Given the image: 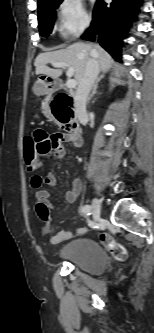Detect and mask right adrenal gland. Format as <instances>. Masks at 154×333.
Wrapping results in <instances>:
<instances>
[{
  "instance_id": "right-adrenal-gland-1",
  "label": "right adrenal gland",
  "mask_w": 154,
  "mask_h": 333,
  "mask_svg": "<svg viewBox=\"0 0 154 333\" xmlns=\"http://www.w3.org/2000/svg\"><path fill=\"white\" fill-rule=\"evenodd\" d=\"M103 78H104V75H103V74L100 75V76L97 78V80H96V82H95V84H94V86H93L92 92H91V94H90L89 97H88V102H89L90 99H91V98L97 93L98 83H99L100 80L103 79Z\"/></svg>"
}]
</instances>
